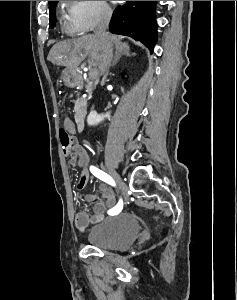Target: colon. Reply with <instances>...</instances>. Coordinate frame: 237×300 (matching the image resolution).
<instances>
[{
    "mask_svg": "<svg viewBox=\"0 0 237 300\" xmlns=\"http://www.w3.org/2000/svg\"><path fill=\"white\" fill-rule=\"evenodd\" d=\"M59 136L64 151L72 150L77 145L75 139L64 128L60 129Z\"/></svg>",
    "mask_w": 237,
    "mask_h": 300,
    "instance_id": "5ec220e1",
    "label": "colon"
}]
</instances>
